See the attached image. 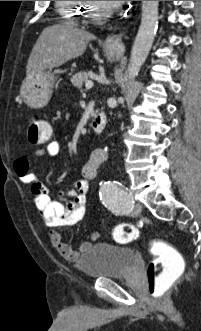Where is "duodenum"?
Returning a JSON list of instances; mask_svg holds the SVG:
<instances>
[{
  "label": "duodenum",
  "instance_id": "duodenum-1",
  "mask_svg": "<svg viewBox=\"0 0 201 331\" xmlns=\"http://www.w3.org/2000/svg\"><path fill=\"white\" fill-rule=\"evenodd\" d=\"M106 122H107V117L106 114L103 111H97L94 114L92 123H91V127L93 129V131L98 134L101 133L105 126H106Z\"/></svg>",
  "mask_w": 201,
  "mask_h": 331
}]
</instances>
